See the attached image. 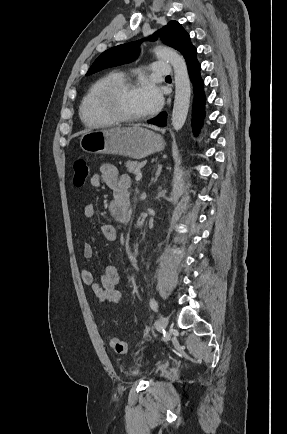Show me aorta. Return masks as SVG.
<instances>
[{"label": "aorta", "instance_id": "762f6f07", "mask_svg": "<svg viewBox=\"0 0 287 434\" xmlns=\"http://www.w3.org/2000/svg\"><path fill=\"white\" fill-rule=\"evenodd\" d=\"M156 56L170 63L174 69L175 100L172 111V125L178 131L185 124L191 97L187 65L183 57L168 47H156Z\"/></svg>", "mask_w": 287, "mask_h": 434}]
</instances>
